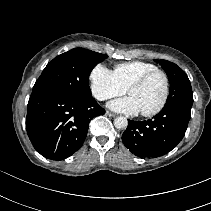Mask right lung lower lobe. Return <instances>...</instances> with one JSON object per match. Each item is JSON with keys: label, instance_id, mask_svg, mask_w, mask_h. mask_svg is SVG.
<instances>
[{"label": "right lung lower lobe", "instance_id": "right-lung-lower-lobe-1", "mask_svg": "<svg viewBox=\"0 0 211 211\" xmlns=\"http://www.w3.org/2000/svg\"><path fill=\"white\" fill-rule=\"evenodd\" d=\"M104 113L93 97L81 100L59 93H32L26 130L38 153L64 160L82 146L90 120Z\"/></svg>", "mask_w": 211, "mask_h": 211}]
</instances>
